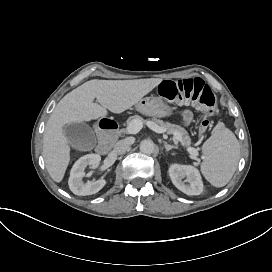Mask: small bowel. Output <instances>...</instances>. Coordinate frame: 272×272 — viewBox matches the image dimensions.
<instances>
[{
	"label": "small bowel",
	"mask_w": 272,
	"mask_h": 272,
	"mask_svg": "<svg viewBox=\"0 0 272 272\" xmlns=\"http://www.w3.org/2000/svg\"><path fill=\"white\" fill-rule=\"evenodd\" d=\"M182 117H183V121H184L185 123H188V122L191 120V118H192V113H191V111L188 110V109L184 110V112H183V114H182Z\"/></svg>",
	"instance_id": "1"
}]
</instances>
